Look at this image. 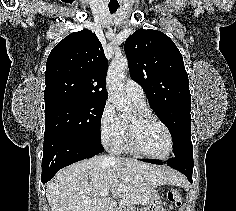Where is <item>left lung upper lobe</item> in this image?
Masks as SVG:
<instances>
[{
    "label": "left lung upper lobe",
    "mask_w": 236,
    "mask_h": 211,
    "mask_svg": "<svg viewBox=\"0 0 236 211\" xmlns=\"http://www.w3.org/2000/svg\"><path fill=\"white\" fill-rule=\"evenodd\" d=\"M131 78L171 133L175 157H193L188 74L174 42L156 30L139 29L125 42Z\"/></svg>",
    "instance_id": "obj_1"
}]
</instances>
